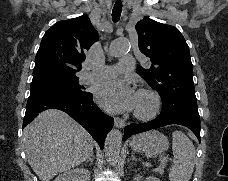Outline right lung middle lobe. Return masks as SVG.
<instances>
[{
	"instance_id": "dd1d6c3e",
	"label": "right lung middle lobe",
	"mask_w": 228,
	"mask_h": 181,
	"mask_svg": "<svg viewBox=\"0 0 228 181\" xmlns=\"http://www.w3.org/2000/svg\"><path fill=\"white\" fill-rule=\"evenodd\" d=\"M78 79L79 78L75 75L33 79L31 83V93L54 91L72 97H84L87 95V92L83 86L79 85Z\"/></svg>"
}]
</instances>
